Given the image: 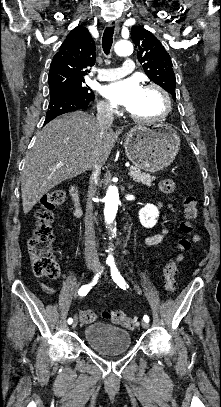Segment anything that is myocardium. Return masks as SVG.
Masks as SVG:
<instances>
[{
	"label": "myocardium",
	"mask_w": 221,
	"mask_h": 407,
	"mask_svg": "<svg viewBox=\"0 0 221 407\" xmlns=\"http://www.w3.org/2000/svg\"><path fill=\"white\" fill-rule=\"evenodd\" d=\"M144 89H146V90L154 89L160 93V95L163 99V103H164L163 112L159 116H156V117H139L132 112H130V116L132 117L133 120L140 122V123H156V122L163 121L169 115V113L171 111V106H172L171 97H170L168 91L163 86H161L157 83H147L144 86Z\"/></svg>",
	"instance_id": "f54148a6"
}]
</instances>
